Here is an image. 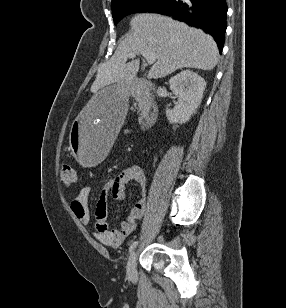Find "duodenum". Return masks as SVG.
<instances>
[{
  "mask_svg": "<svg viewBox=\"0 0 286 308\" xmlns=\"http://www.w3.org/2000/svg\"><path fill=\"white\" fill-rule=\"evenodd\" d=\"M134 86L138 89H143L147 91H154L155 85L152 81L146 78H138L134 81ZM159 114V105L157 103H153L147 118L142 122V128L145 129L149 125H151L158 117Z\"/></svg>",
  "mask_w": 286,
  "mask_h": 308,
  "instance_id": "410a0bca",
  "label": "duodenum"
}]
</instances>
